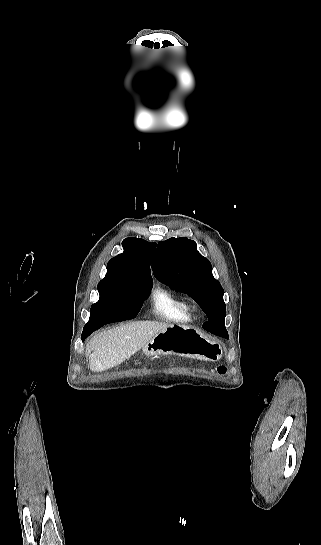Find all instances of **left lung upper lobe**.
I'll return each mask as SVG.
<instances>
[{"label": "left lung upper lobe", "mask_w": 321, "mask_h": 545, "mask_svg": "<svg viewBox=\"0 0 321 545\" xmlns=\"http://www.w3.org/2000/svg\"><path fill=\"white\" fill-rule=\"evenodd\" d=\"M188 238L160 241L152 264L156 278L170 288L192 297L201 309L225 316L224 291L212 275L210 262Z\"/></svg>", "instance_id": "1"}]
</instances>
